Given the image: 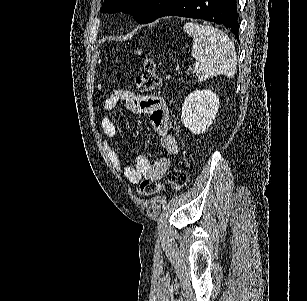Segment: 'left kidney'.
<instances>
[{"label":"left kidney","instance_id":"left-kidney-1","mask_svg":"<svg viewBox=\"0 0 307 301\" xmlns=\"http://www.w3.org/2000/svg\"><path fill=\"white\" fill-rule=\"evenodd\" d=\"M219 108V98L212 90H193L182 104L181 120L192 134L206 132Z\"/></svg>","mask_w":307,"mask_h":301}]
</instances>
